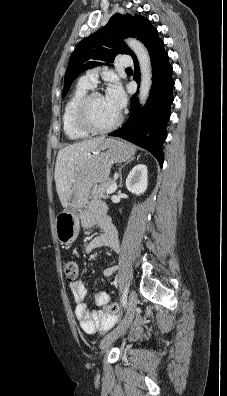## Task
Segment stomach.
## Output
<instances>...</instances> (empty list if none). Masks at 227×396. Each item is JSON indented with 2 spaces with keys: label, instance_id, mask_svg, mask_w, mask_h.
<instances>
[{
  "label": "stomach",
  "instance_id": "0dacf381",
  "mask_svg": "<svg viewBox=\"0 0 227 396\" xmlns=\"http://www.w3.org/2000/svg\"><path fill=\"white\" fill-rule=\"evenodd\" d=\"M134 154L131 144L108 138L75 166L67 207L55 218L56 237L61 244L76 240L80 228L76 211L86 205L91 189L108 180L114 163L124 162Z\"/></svg>",
  "mask_w": 227,
  "mask_h": 396
}]
</instances>
